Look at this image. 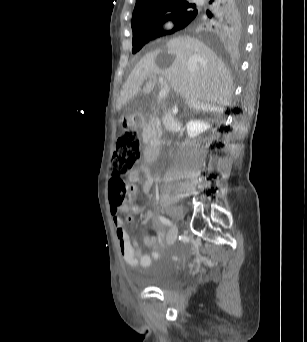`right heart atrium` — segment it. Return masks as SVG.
<instances>
[{
  "mask_svg": "<svg viewBox=\"0 0 307 342\" xmlns=\"http://www.w3.org/2000/svg\"><path fill=\"white\" fill-rule=\"evenodd\" d=\"M173 26H174L173 20H171L169 18H164L159 24L158 32L159 33L165 32V31L173 28Z\"/></svg>",
  "mask_w": 307,
  "mask_h": 342,
  "instance_id": "right-heart-atrium-1",
  "label": "right heart atrium"
}]
</instances>
